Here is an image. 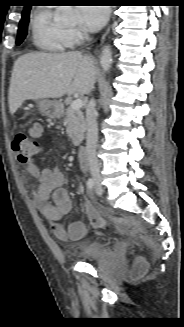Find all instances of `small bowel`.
<instances>
[{
  "instance_id": "1",
  "label": "small bowel",
  "mask_w": 184,
  "mask_h": 327,
  "mask_svg": "<svg viewBox=\"0 0 184 327\" xmlns=\"http://www.w3.org/2000/svg\"><path fill=\"white\" fill-rule=\"evenodd\" d=\"M29 135L39 138L42 135L43 127L39 122H34L29 127ZM27 173L36 178L37 187L34 189L33 201L42 215L50 222L53 234L61 240H79L87 232V226L82 221L71 222L64 227L61 219L67 215L72 207L68 191L64 188L65 175L57 167L40 168L36 162L27 165ZM78 190L82 191L83 186L79 185Z\"/></svg>"
}]
</instances>
